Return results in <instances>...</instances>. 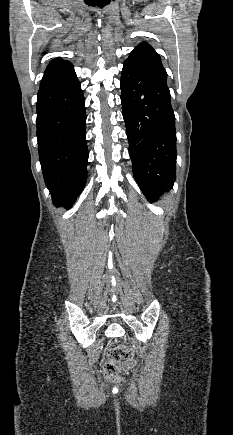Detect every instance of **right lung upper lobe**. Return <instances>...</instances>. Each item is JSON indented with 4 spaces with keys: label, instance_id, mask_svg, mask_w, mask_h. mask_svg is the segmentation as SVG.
<instances>
[{
    "label": "right lung upper lobe",
    "instance_id": "obj_1",
    "mask_svg": "<svg viewBox=\"0 0 233 435\" xmlns=\"http://www.w3.org/2000/svg\"><path fill=\"white\" fill-rule=\"evenodd\" d=\"M72 73L75 72L73 65L69 61L56 58L48 64L40 83V89L58 82Z\"/></svg>",
    "mask_w": 233,
    "mask_h": 435
}]
</instances>
